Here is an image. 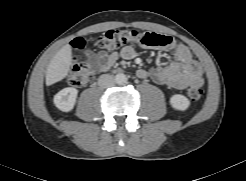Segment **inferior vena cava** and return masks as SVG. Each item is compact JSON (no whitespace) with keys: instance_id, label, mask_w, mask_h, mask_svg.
<instances>
[{"instance_id":"1","label":"inferior vena cava","mask_w":246,"mask_h":181,"mask_svg":"<svg viewBox=\"0 0 246 181\" xmlns=\"http://www.w3.org/2000/svg\"><path fill=\"white\" fill-rule=\"evenodd\" d=\"M115 78L109 74H103L98 79V84L102 88H109L115 85Z\"/></svg>"}]
</instances>
